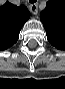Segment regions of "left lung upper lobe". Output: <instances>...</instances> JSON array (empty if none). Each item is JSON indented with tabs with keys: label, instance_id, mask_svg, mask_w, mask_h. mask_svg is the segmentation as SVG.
Segmentation results:
<instances>
[{
	"label": "left lung upper lobe",
	"instance_id": "obj_1",
	"mask_svg": "<svg viewBox=\"0 0 65 89\" xmlns=\"http://www.w3.org/2000/svg\"><path fill=\"white\" fill-rule=\"evenodd\" d=\"M40 19L50 44L65 50V1L49 0L40 14Z\"/></svg>",
	"mask_w": 65,
	"mask_h": 89
}]
</instances>
